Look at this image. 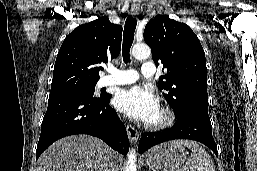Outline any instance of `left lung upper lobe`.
<instances>
[{"label":"left lung upper lobe","mask_w":257,"mask_h":171,"mask_svg":"<svg viewBox=\"0 0 257 171\" xmlns=\"http://www.w3.org/2000/svg\"><path fill=\"white\" fill-rule=\"evenodd\" d=\"M144 40L155 64L167 68L158 86L176 115L193 109L208 112L205 53L191 28L157 15L146 25Z\"/></svg>","instance_id":"obj_1"}]
</instances>
